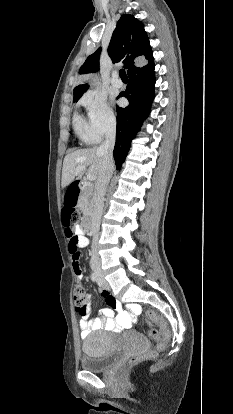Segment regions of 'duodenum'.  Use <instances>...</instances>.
<instances>
[{
  "mask_svg": "<svg viewBox=\"0 0 233 414\" xmlns=\"http://www.w3.org/2000/svg\"><path fill=\"white\" fill-rule=\"evenodd\" d=\"M87 186V183L83 180H76L71 179L70 185H68V188L65 189V200L62 201L63 210L65 212H72L74 210V207L76 206L78 202V196L81 193V191ZM85 220L83 221L81 228L85 233L92 234L93 232V226H92V219H91V213L85 212L84 213Z\"/></svg>",
  "mask_w": 233,
  "mask_h": 414,
  "instance_id": "obj_1",
  "label": "duodenum"
}]
</instances>
